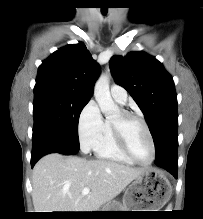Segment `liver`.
Instances as JSON below:
<instances>
[{"label":"liver","instance_id":"1","mask_svg":"<svg viewBox=\"0 0 203 219\" xmlns=\"http://www.w3.org/2000/svg\"><path fill=\"white\" fill-rule=\"evenodd\" d=\"M145 169L108 160H87L53 153L33 168L36 212H91L119 195ZM88 187L90 192L82 195Z\"/></svg>","mask_w":203,"mask_h":219}]
</instances>
